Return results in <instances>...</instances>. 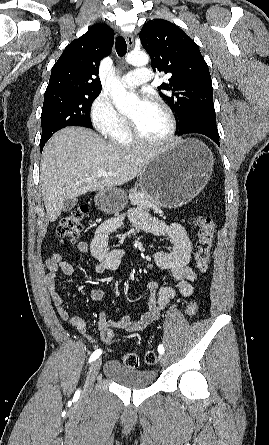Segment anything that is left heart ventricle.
<instances>
[{"label": "left heart ventricle", "instance_id": "b2bd125f", "mask_svg": "<svg viewBox=\"0 0 269 445\" xmlns=\"http://www.w3.org/2000/svg\"><path fill=\"white\" fill-rule=\"evenodd\" d=\"M140 133L149 139L162 138L169 129V120L165 112L154 103L142 106L140 102L134 104L128 113Z\"/></svg>", "mask_w": 269, "mask_h": 445}]
</instances>
